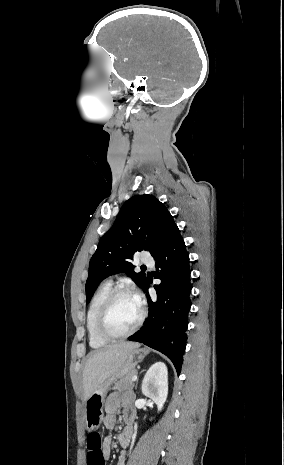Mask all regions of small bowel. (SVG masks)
Listing matches in <instances>:
<instances>
[{
	"label": "small bowel",
	"instance_id": "small-bowel-1",
	"mask_svg": "<svg viewBox=\"0 0 284 465\" xmlns=\"http://www.w3.org/2000/svg\"><path fill=\"white\" fill-rule=\"evenodd\" d=\"M133 400L131 393L119 394L118 392H112L106 399L105 402V418L104 425L107 429H113L117 423L118 415L121 414L125 423L123 430L118 434V442L121 446L119 453V465H124V462L128 456L129 450L133 446V428L132 422L135 418V412L131 408L130 404ZM112 448L111 436H106L102 451L105 458H109Z\"/></svg>",
	"mask_w": 284,
	"mask_h": 465
}]
</instances>
